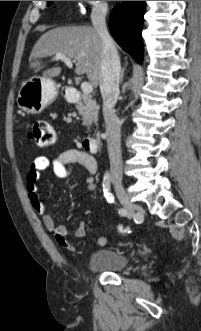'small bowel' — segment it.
<instances>
[{
	"label": "small bowel",
	"instance_id": "1",
	"mask_svg": "<svg viewBox=\"0 0 201 331\" xmlns=\"http://www.w3.org/2000/svg\"><path fill=\"white\" fill-rule=\"evenodd\" d=\"M74 166L81 167L90 175L87 183L89 189L93 191L95 183L92 176L97 172V162L91 155L78 149L66 150L53 158L46 156L36 157L30 163L26 173V191L33 209L42 217L46 230L53 234L60 246L72 253H78V249L66 239V227L57 225L52 216L47 213L44 203L40 200L38 187V180L42 171L51 168L57 177L65 179L69 177L70 171ZM85 233V223L81 222L76 227L74 234L78 238H83ZM105 242L106 239L104 237L98 239V244L100 245L105 244Z\"/></svg>",
	"mask_w": 201,
	"mask_h": 331
}]
</instances>
